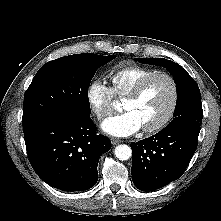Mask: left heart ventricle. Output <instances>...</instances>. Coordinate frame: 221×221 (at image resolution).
<instances>
[{"label": "left heart ventricle", "instance_id": "obj_1", "mask_svg": "<svg viewBox=\"0 0 221 221\" xmlns=\"http://www.w3.org/2000/svg\"><path fill=\"white\" fill-rule=\"evenodd\" d=\"M172 98L169 81L162 77L151 80L136 100H125L123 109L133 112L142 127L158 122L167 112Z\"/></svg>", "mask_w": 221, "mask_h": 221}]
</instances>
